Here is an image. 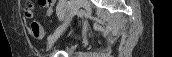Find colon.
<instances>
[{
  "mask_svg": "<svg viewBox=\"0 0 172 57\" xmlns=\"http://www.w3.org/2000/svg\"><path fill=\"white\" fill-rule=\"evenodd\" d=\"M25 10H26V12L31 13L33 10V5L29 3L27 5V7L25 8ZM30 33L33 38L41 39V37L43 35V29L38 22L34 21L31 23Z\"/></svg>",
  "mask_w": 172,
  "mask_h": 57,
  "instance_id": "colon-1",
  "label": "colon"
}]
</instances>
